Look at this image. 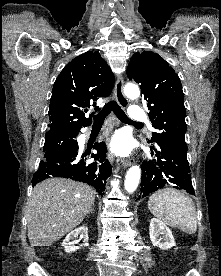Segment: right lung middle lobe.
Returning <instances> with one entry per match:
<instances>
[{
  "label": "right lung middle lobe",
  "mask_w": 221,
  "mask_h": 276,
  "mask_svg": "<svg viewBox=\"0 0 221 276\" xmlns=\"http://www.w3.org/2000/svg\"><path fill=\"white\" fill-rule=\"evenodd\" d=\"M77 134H53L45 135V144L43 147L44 158L53 154H59L71 151L77 147V141L74 138Z\"/></svg>",
  "instance_id": "1"
}]
</instances>
